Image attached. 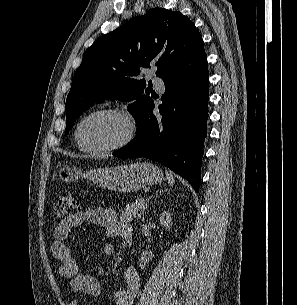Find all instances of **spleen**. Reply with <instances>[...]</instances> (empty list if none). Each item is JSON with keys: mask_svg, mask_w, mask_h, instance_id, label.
Returning <instances> with one entry per match:
<instances>
[{"mask_svg": "<svg viewBox=\"0 0 297 305\" xmlns=\"http://www.w3.org/2000/svg\"><path fill=\"white\" fill-rule=\"evenodd\" d=\"M166 177H167L169 185L172 186L174 184V182H175L173 174L168 172V171H166Z\"/></svg>", "mask_w": 297, "mask_h": 305, "instance_id": "3e777b00", "label": "spleen"}]
</instances>
